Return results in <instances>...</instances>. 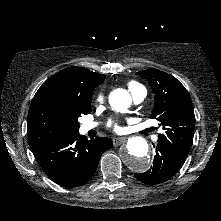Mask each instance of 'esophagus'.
Returning <instances> with one entry per match:
<instances>
[{
  "instance_id": "esophagus-1",
  "label": "esophagus",
  "mask_w": 221,
  "mask_h": 221,
  "mask_svg": "<svg viewBox=\"0 0 221 221\" xmlns=\"http://www.w3.org/2000/svg\"><path fill=\"white\" fill-rule=\"evenodd\" d=\"M126 140H127L126 137L113 138V144L116 146V145H119L121 143H125Z\"/></svg>"
}]
</instances>
